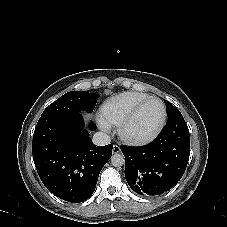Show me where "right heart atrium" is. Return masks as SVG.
<instances>
[{"label":"right heart atrium","instance_id":"obj_1","mask_svg":"<svg viewBox=\"0 0 227 227\" xmlns=\"http://www.w3.org/2000/svg\"><path fill=\"white\" fill-rule=\"evenodd\" d=\"M99 125H100V128L103 131H109L110 130V124L108 122H106L105 120H103V119H101L99 121Z\"/></svg>","mask_w":227,"mask_h":227}]
</instances>
